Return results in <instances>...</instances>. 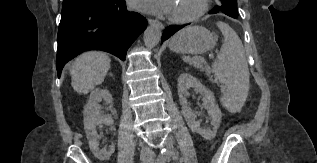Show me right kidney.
Masks as SVG:
<instances>
[{
    "label": "right kidney",
    "instance_id": "obj_1",
    "mask_svg": "<svg viewBox=\"0 0 317 163\" xmlns=\"http://www.w3.org/2000/svg\"><path fill=\"white\" fill-rule=\"evenodd\" d=\"M104 100L106 103L112 102V95L107 89L97 88L95 89L88 99L86 106L84 107V129L87 139L89 141V147L92 153L99 160H107L115 151V146L112 144L108 150L99 149V135L97 134V126L105 123L113 125L114 120L111 115H103L100 111L99 102Z\"/></svg>",
    "mask_w": 317,
    "mask_h": 163
}]
</instances>
